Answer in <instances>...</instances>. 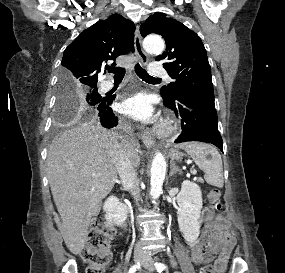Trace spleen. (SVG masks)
<instances>
[{"label": "spleen", "mask_w": 285, "mask_h": 273, "mask_svg": "<svg viewBox=\"0 0 285 273\" xmlns=\"http://www.w3.org/2000/svg\"><path fill=\"white\" fill-rule=\"evenodd\" d=\"M177 148L185 150L196 165L204 172L205 181L218 188L224 184L222 159L213 146L201 142H185L178 144Z\"/></svg>", "instance_id": "1"}]
</instances>
